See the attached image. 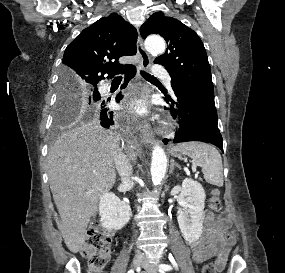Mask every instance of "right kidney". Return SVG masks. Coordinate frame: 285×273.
I'll list each match as a JSON object with an SVG mask.
<instances>
[{
  "mask_svg": "<svg viewBox=\"0 0 285 273\" xmlns=\"http://www.w3.org/2000/svg\"><path fill=\"white\" fill-rule=\"evenodd\" d=\"M130 207L122 202L114 193H106L100 197L99 215L104 229L120 230L130 219Z\"/></svg>",
  "mask_w": 285,
  "mask_h": 273,
  "instance_id": "obj_1",
  "label": "right kidney"
}]
</instances>
